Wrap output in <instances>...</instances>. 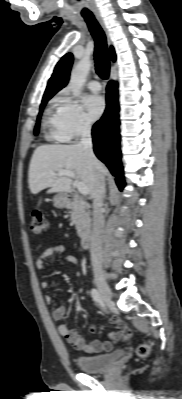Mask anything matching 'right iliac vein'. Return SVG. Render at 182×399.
<instances>
[{
  "label": "right iliac vein",
  "mask_w": 182,
  "mask_h": 399,
  "mask_svg": "<svg viewBox=\"0 0 182 399\" xmlns=\"http://www.w3.org/2000/svg\"><path fill=\"white\" fill-rule=\"evenodd\" d=\"M95 284L99 290L100 296L102 298V300L104 301V303H106L107 305H110L112 302L111 299V292L110 289L107 285V283L104 280V277L102 274H97L95 276Z\"/></svg>",
  "instance_id": "right-iliac-vein-1"
}]
</instances>
